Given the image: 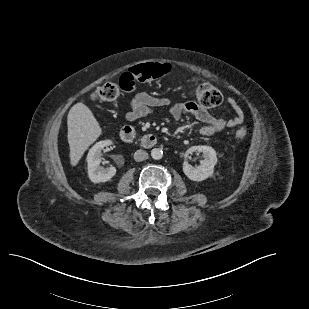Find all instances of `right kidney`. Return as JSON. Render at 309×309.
Returning <instances> with one entry per match:
<instances>
[{
  "instance_id": "1",
  "label": "right kidney",
  "mask_w": 309,
  "mask_h": 309,
  "mask_svg": "<svg viewBox=\"0 0 309 309\" xmlns=\"http://www.w3.org/2000/svg\"><path fill=\"white\" fill-rule=\"evenodd\" d=\"M112 144L110 140H103L97 142L88 152L87 155V169L88 176L93 183H103L109 181L115 174L116 168L111 166L104 168L100 166L101 163V151L104 147Z\"/></svg>"
}]
</instances>
